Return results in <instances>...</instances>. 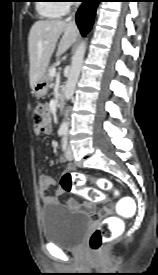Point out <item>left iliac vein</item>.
<instances>
[{
    "label": "left iliac vein",
    "mask_w": 158,
    "mask_h": 275,
    "mask_svg": "<svg viewBox=\"0 0 158 275\" xmlns=\"http://www.w3.org/2000/svg\"><path fill=\"white\" fill-rule=\"evenodd\" d=\"M65 157L70 161L73 160V151H72L71 146L67 147L66 152H65Z\"/></svg>",
    "instance_id": "4c4485c4"
}]
</instances>
